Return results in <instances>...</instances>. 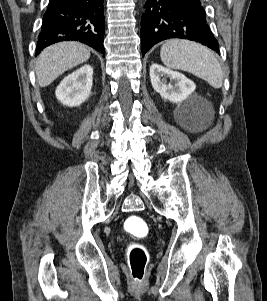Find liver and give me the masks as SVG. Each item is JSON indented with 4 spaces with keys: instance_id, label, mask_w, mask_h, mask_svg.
Returning <instances> with one entry per match:
<instances>
[{
    "instance_id": "6515ba94",
    "label": "liver",
    "mask_w": 267,
    "mask_h": 301,
    "mask_svg": "<svg viewBox=\"0 0 267 301\" xmlns=\"http://www.w3.org/2000/svg\"><path fill=\"white\" fill-rule=\"evenodd\" d=\"M90 58V50L79 42H60L45 48L36 60V76L40 87L50 85L65 71Z\"/></svg>"
}]
</instances>
